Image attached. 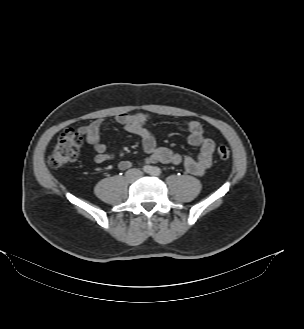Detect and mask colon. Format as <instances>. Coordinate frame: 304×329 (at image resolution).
<instances>
[{
    "instance_id": "colon-1",
    "label": "colon",
    "mask_w": 304,
    "mask_h": 329,
    "mask_svg": "<svg viewBox=\"0 0 304 329\" xmlns=\"http://www.w3.org/2000/svg\"><path fill=\"white\" fill-rule=\"evenodd\" d=\"M81 141V135L75 130L64 131L48 157L49 166L57 169L74 162L77 159ZM217 154L220 159L226 160L230 156V150L227 146L221 145L217 149Z\"/></svg>"
}]
</instances>
